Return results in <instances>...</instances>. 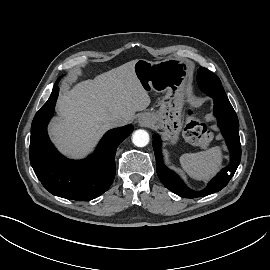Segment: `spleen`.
<instances>
[{
  "label": "spleen",
  "mask_w": 270,
  "mask_h": 270,
  "mask_svg": "<svg viewBox=\"0 0 270 270\" xmlns=\"http://www.w3.org/2000/svg\"><path fill=\"white\" fill-rule=\"evenodd\" d=\"M179 160L181 167L191 178L207 181L220 169L223 155L220 147H213L203 152L185 153Z\"/></svg>",
  "instance_id": "3e777b00"
}]
</instances>
